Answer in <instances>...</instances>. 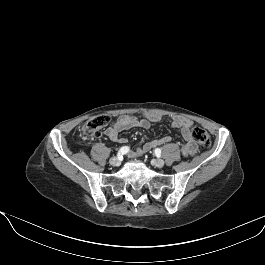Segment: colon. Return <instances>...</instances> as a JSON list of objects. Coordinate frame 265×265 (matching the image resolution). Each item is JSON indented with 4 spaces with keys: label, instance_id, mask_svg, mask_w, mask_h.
Masks as SVG:
<instances>
[{
    "label": "colon",
    "instance_id": "5ec220e1",
    "mask_svg": "<svg viewBox=\"0 0 265 265\" xmlns=\"http://www.w3.org/2000/svg\"><path fill=\"white\" fill-rule=\"evenodd\" d=\"M110 124V117L100 115L89 120L83 128V132L87 137H94L101 133V130ZM192 136L196 143L203 148H208L211 145L210 135L202 128L194 126L192 128Z\"/></svg>",
    "mask_w": 265,
    "mask_h": 265
}]
</instances>
